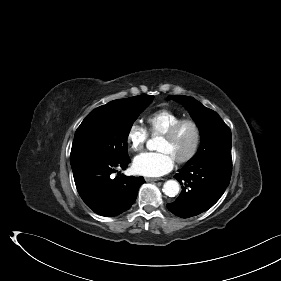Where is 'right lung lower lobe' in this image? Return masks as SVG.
<instances>
[{"instance_id":"98d812e1","label":"right lung lower lobe","mask_w":281,"mask_h":281,"mask_svg":"<svg viewBox=\"0 0 281 281\" xmlns=\"http://www.w3.org/2000/svg\"><path fill=\"white\" fill-rule=\"evenodd\" d=\"M130 158L121 161H91L72 167L77 191L95 213L108 217L128 210L135 202L143 177L112 178L117 168L125 170Z\"/></svg>"}]
</instances>
